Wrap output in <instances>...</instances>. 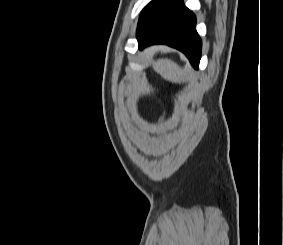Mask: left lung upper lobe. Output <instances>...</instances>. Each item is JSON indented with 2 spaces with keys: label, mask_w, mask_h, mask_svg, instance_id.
<instances>
[{
  "label": "left lung upper lobe",
  "mask_w": 283,
  "mask_h": 245,
  "mask_svg": "<svg viewBox=\"0 0 283 245\" xmlns=\"http://www.w3.org/2000/svg\"><path fill=\"white\" fill-rule=\"evenodd\" d=\"M176 0H153L142 11L137 37L150 30Z\"/></svg>",
  "instance_id": "5c2ea615"
}]
</instances>
